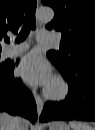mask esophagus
I'll use <instances>...</instances> for the list:
<instances>
[{
  "instance_id": "esophagus-1",
  "label": "esophagus",
  "mask_w": 95,
  "mask_h": 130,
  "mask_svg": "<svg viewBox=\"0 0 95 130\" xmlns=\"http://www.w3.org/2000/svg\"><path fill=\"white\" fill-rule=\"evenodd\" d=\"M33 95H34V99H35V102L37 105L38 115H40L43 110L44 102H43L42 98L38 95L36 90L33 91Z\"/></svg>"
}]
</instances>
